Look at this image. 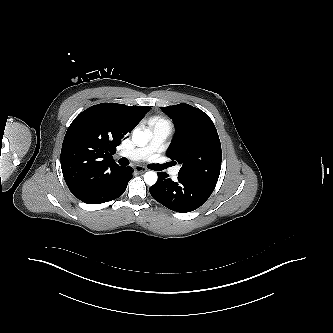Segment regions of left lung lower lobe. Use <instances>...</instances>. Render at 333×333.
<instances>
[{
    "label": "left lung lower lobe",
    "mask_w": 333,
    "mask_h": 333,
    "mask_svg": "<svg viewBox=\"0 0 333 333\" xmlns=\"http://www.w3.org/2000/svg\"><path fill=\"white\" fill-rule=\"evenodd\" d=\"M216 183L178 174L173 181L166 172L158 173V181L149 188L151 196L165 207L186 213L202 206L212 194Z\"/></svg>",
    "instance_id": "0a47b994"
}]
</instances>
